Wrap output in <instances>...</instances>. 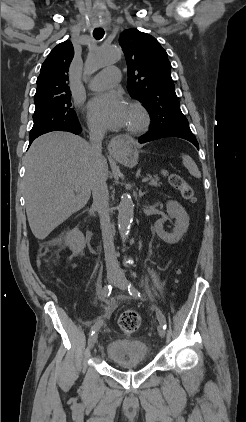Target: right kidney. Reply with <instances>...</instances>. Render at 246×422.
I'll list each match as a JSON object with an SVG mask.
<instances>
[{"label":"right kidney","instance_id":"ca27d5eb","mask_svg":"<svg viewBox=\"0 0 246 422\" xmlns=\"http://www.w3.org/2000/svg\"><path fill=\"white\" fill-rule=\"evenodd\" d=\"M66 241L70 250L75 254L81 253L86 244L85 237L78 228H74L66 234Z\"/></svg>","mask_w":246,"mask_h":422}]
</instances>
